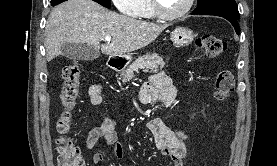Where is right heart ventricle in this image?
Instances as JSON below:
<instances>
[{
  "label": "right heart ventricle",
  "mask_w": 277,
  "mask_h": 166,
  "mask_svg": "<svg viewBox=\"0 0 277 166\" xmlns=\"http://www.w3.org/2000/svg\"><path fill=\"white\" fill-rule=\"evenodd\" d=\"M134 17L142 20H154L156 18L150 0H142L141 6Z\"/></svg>",
  "instance_id": "right-heart-ventricle-1"
}]
</instances>
